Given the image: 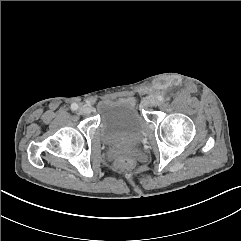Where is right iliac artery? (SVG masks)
<instances>
[{
  "instance_id": "1",
  "label": "right iliac artery",
  "mask_w": 241,
  "mask_h": 241,
  "mask_svg": "<svg viewBox=\"0 0 241 241\" xmlns=\"http://www.w3.org/2000/svg\"><path fill=\"white\" fill-rule=\"evenodd\" d=\"M71 109H72L73 111L77 110V109H78V105H77L76 103H73V104L71 105Z\"/></svg>"
}]
</instances>
